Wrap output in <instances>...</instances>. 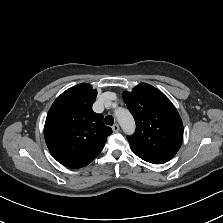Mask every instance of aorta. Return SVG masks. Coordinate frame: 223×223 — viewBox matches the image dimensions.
<instances>
[{"mask_svg": "<svg viewBox=\"0 0 223 223\" xmlns=\"http://www.w3.org/2000/svg\"><path fill=\"white\" fill-rule=\"evenodd\" d=\"M115 116L126 133H133L135 130V121L130 112L125 108H117Z\"/></svg>", "mask_w": 223, "mask_h": 223, "instance_id": "1", "label": "aorta"}]
</instances>
